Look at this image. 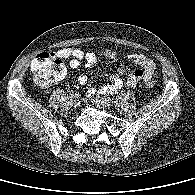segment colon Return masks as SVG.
Returning a JSON list of instances; mask_svg holds the SVG:
<instances>
[{"instance_id":"colon-1","label":"colon","mask_w":195,"mask_h":195,"mask_svg":"<svg viewBox=\"0 0 195 195\" xmlns=\"http://www.w3.org/2000/svg\"><path fill=\"white\" fill-rule=\"evenodd\" d=\"M32 71L36 82L40 86H47L61 80L65 74V65L59 57L53 53H40L32 62ZM155 83L151 80L145 81L147 88H153Z\"/></svg>"}]
</instances>
